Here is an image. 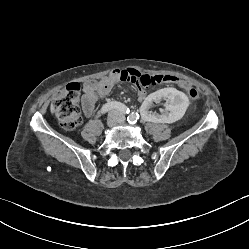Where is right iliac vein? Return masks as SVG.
Returning <instances> with one entry per match:
<instances>
[{
	"mask_svg": "<svg viewBox=\"0 0 249 249\" xmlns=\"http://www.w3.org/2000/svg\"><path fill=\"white\" fill-rule=\"evenodd\" d=\"M120 120V114L117 111H113L108 115L107 118V125L109 127H113L116 125L117 122Z\"/></svg>",
	"mask_w": 249,
	"mask_h": 249,
	"instance_id": "obj_1",
	"label": "right iliac vein"
}]
</instances>
